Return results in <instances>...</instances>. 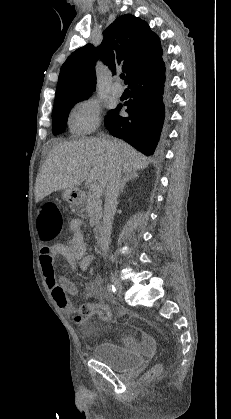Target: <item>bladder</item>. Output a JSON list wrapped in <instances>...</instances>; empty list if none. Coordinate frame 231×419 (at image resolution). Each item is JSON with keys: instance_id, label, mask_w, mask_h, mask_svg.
I'll use <instances>...</instances> for the list:
<instances>
[{"instance_id": "1", "label": "bladder", "mask_w": 231, "mask_h": 419, "mask_svg": "<svg viewBox=\"0 0 231 419\" xmlns=\"http://www.w3.org/2000/svg\"><path fill=\"white\" fill-rule=\"evenodd\" d=\"M92 357L108 365L117 372L125 373L138 368L144 363L142 354L134 353L109 341H102L95 345Z\"/></svg>"}]
</instances>
